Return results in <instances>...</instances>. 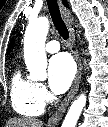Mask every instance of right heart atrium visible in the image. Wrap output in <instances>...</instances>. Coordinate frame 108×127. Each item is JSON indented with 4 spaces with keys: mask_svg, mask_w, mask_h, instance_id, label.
Instances as JSON below:
<instances>
[{
    "mask_svg": "<svg viewBox=\"0 0 108 127\" xmlns=\"http://www.w3.org/2000/svg\"><path fill=\"white\" fill-rule=\"evenodd\" d=\"M36 94L42 103H45L50 99L49 91L47 90L46 86L41 82L36 83Z\"/></svg>",
    "mask_w": 108,
    "mask_h": 127,
    "instance_id": "d8ad5b80",
    "label": "right heart atrium"
}]
</instances>
